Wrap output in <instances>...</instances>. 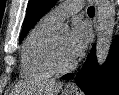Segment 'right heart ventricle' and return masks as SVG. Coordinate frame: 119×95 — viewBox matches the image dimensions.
I'll return each instance as SVG.
<instances>
[{
    "instance_id": "right-heart-ventricle-1",
    "label": "right heart ventricle",
    "mask_w": 119,
    "mask_h": 95,
    "mask_svg": "<svg viewBox=\"0 0 119 95\" xmlns=\"http://www.w3.org/2000/svg\"><path fill=\"white\" fill-rule=\"evenodd\" d=\"M56 22L43 17L30 31L21 50V74L28 79H48L55 73L49 50Z\"/></svg>"
}]
</instances>
